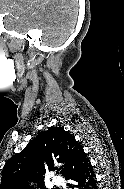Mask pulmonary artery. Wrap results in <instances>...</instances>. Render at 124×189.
<instances>
[{"instance_id":"e3ab8cb5","label":"pulmonary artery","mask_w":124,"mask_h":189,"mask_svg":"<svg viewBox=\"0 0 124 189\" xmlns=\"http://www.w3.org/2000/svg\"><path fill=\"white\" fill-rule=\"evenodd\" d=\"M53 184L56 185V186H60L62 183H61V180L57 177H54L53 180H52Z\"/></svg>"}]
</instances>
